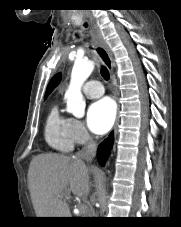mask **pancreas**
<instances>
[{
    "instance_id": "cf45deb5",
    "label": "pancreas",
    "mask_w": 181,
    "mask_h": 227,
    "mask_svg": "<svg viewBox=\"0 0 181 227\" xmlns=\"http://www.w3.org/2000/svg\"><path fill=\"white\" fill-rule=\"evenodd\" d=\"M90 212V210L87 208V210L85 211V212H82L81 211V215H80V217H87V215L86 214H88Z\"/></svg>"
}]
</instances>
